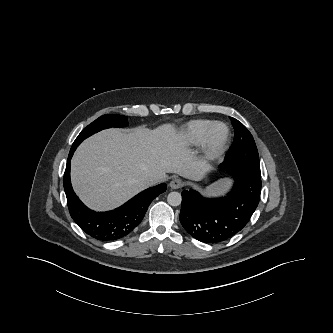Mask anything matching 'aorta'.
Listing matches in <instances>:
<instances>
[{
	"label": "aorta",
	"mask_w": 333,
	"mask_h": 333,
	"mask_svg": "<svg viewBox=\"0 0 333 333\" xmlns=\"http://www.w3.org/2000/svg\"><path fill=\"white\" fill-rule=\"evenodd\" d=\"M167 201L171 206H178L182 201L181 194L179 192H171L168 194Z\"/></svg>",
	"instance_id": "762f6f07"
}]
</instances>
